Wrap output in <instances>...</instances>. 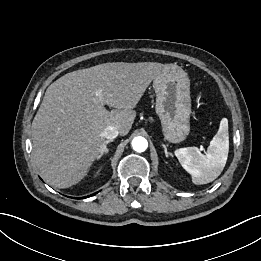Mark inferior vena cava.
<instances>
[{"instance_id":"1","label":"inferior vena cava","mask_w":261,"mask_h":261,"mask_svg":"<svg viewBox=\"0 0 261 261\" xmlns=\"http://www.w3.org/2000/svg\"><path fill=\"white\" fill-rule=\"evenodd\" d=\"M119 131L115 126H107L103 131V136L107 139H114L118 136Z\"/></svg>"}]
</instances>
